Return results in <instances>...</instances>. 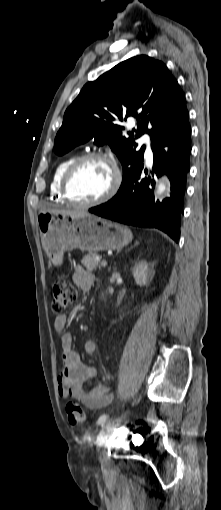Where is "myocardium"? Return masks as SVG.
<instances>
[{"label":"myocardium","mask_w":221,"mask_h":510,"mask_svg":"<svg viewBox=\"0 0 221 510\" xmlns=\"http://www.w3.org/2000/svg\"><path fill=\"white\" fill-rule=\"evenodd\" d=\"M94 159L103 160L111 166L112 171H113V177H114L113 183H112L110 189L104 195L99 197L98 199L89 201V202L78 201V200L74 199L70 193V190H69L70 181H71L74 173L76 172V170L84 162L89 161V160H94ZM121 184H122L121 170H120L119 165L116 162V160L110 154L105 153V152H88V153L82 154V155L78 156L77 158H75L74 161L68 166V168L64 172L62 180H61L60 190H61V194L64 197V199L71 205H73L75 207H80V208H91L94 206L101 205V204L109 201L110 199H112L118 193V191L121 187Z\"/></svg>","instance_id":"obj_1"}]
</instances>
